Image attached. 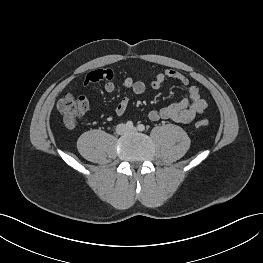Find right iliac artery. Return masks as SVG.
Wrapping results in <instances>:
<instances>
[{
    "label": "right iliac artery",
    "instance_id": "82829eb1",
    "mask_svg": "<svg viewBox=\"0 0 263 263\" xmlns=\"http://www.w3.org/2000/svg\"><path fill=\"white\" fill-rule=\"evenodd\" d=\"M126 127H127V128H132V127H133V122H132V121H128V122L126 123Z\"/></svg>",
    "mask_w": 263,
    "mask_h": 263
}]
</instances>
